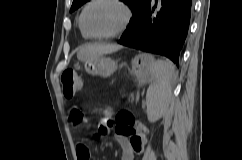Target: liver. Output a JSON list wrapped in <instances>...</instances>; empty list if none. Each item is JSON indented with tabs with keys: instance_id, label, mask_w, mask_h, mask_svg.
Segmentation results:
<instances>
[{
	"instance_id": "6515ba94",
	"label": "liver",
	"mask_w": 242,
	"mask_h": 160,
	"mask_svg": "<svg viewBox=\"0 0 242 160\" xmlns=\"http://www.w3.org/2000/svg\"><path fill=\"white\" fill-rule=\"evenodd\" d=\"M122 48L117 44H90L82 47L77 54V58L80 61H86L94 59L99 56L116 52Z\"/></svg>"
}]
</instances>
